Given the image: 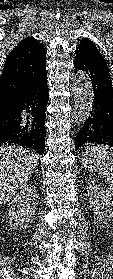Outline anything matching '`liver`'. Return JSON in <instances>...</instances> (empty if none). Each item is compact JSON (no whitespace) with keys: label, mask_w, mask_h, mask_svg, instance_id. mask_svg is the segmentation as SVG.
Wrapping results in <instances>:
<instances>
[{"label":"liver","mask_w":113,"mask_h":279,"mask_svg":"<svg viewBox=\"0 0 113 279\" xmlns=\"http://www.w3.org/2000/svg\"><path fill=\"white\" fill-rule=\"evenodd\" d=\"M38 158L22 146L0 147V207L26 184L37 167Z\"/></svg>","instance_id":"6515ba94"}]
</instances>
